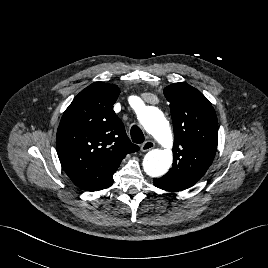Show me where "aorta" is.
Instances as JSON below:
<instances>
[{
  "instance_id": "1",
  "label": "aorta",
  "mask_w": 268,
  "mask_h": 268,
  "mask_svg": "<svg viewBox=\"0 0 268 268\" xmlns=\"http://www.w3.org/2000/svg\"><path fill=\"white\" fill-rule=\"evenodd\" d=\"M138 120L165 149H153L143 159V168L151 177L164 175L172 165L173 136L169 123L160 109L146 106L138 113Z\"/></svg>"
}]
</instances>
